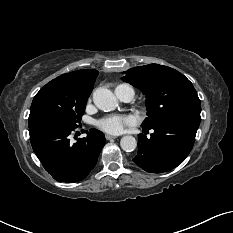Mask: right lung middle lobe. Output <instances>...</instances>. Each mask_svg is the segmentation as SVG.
<instances>
[{"mask_svg":"<svg viewBox=\"0 0 233 233\" xmlns=\"http://www.w3.org/2000/svg\"><path fill=\"white\" fill-rule=\"evenodd\" d=\"M89 95V91L76 90L53 79L34 97L28 119L29 127L41 121L77 127Z\"/></svg>","mask_w":233,"mask_h":233,"instance_id":"dd1d6c3e","label":"right lung middle lobe"}]
</instances>
